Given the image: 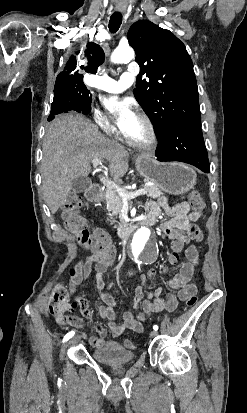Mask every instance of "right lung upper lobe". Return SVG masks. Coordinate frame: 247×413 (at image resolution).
<instances>
[{"label": "right lung upper lobe", "instance_id": "cb5924a9", "mask_svg": "<svg viewBox=\"0 0 247 413\" xmlns=\"http://www.w3.org/2000/svg\"><path fill=\"white\" fill-rule=\"evenodd\" d=\"M104 57V52L99 45L93 42H88L84 52L86 64L82 65L81 68L89 73H96L98 66L104 62ZM75 68L76 60L74 57H71L65 70L57 76L56 83L83 81V75L78 73V71H75Z\"/></svg>", "mask_w": 247, "mask_h": 413}]
</instances>
